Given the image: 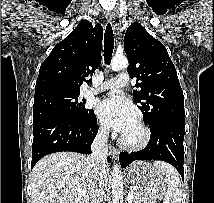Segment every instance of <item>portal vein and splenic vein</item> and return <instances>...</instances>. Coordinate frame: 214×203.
Here are the masks:
<instances>
[{
  "mask_svg": "<svg viewBox=\"0 0 214 203\" xmlns=\"http://www.w3.org/2000/svg\"><path fill=\"white\" fill-rule=\"evenodd\" d=\"M127 198H128V202H129V203H132L133 198H134L133 192H132V191H129V192H128Z\"/></svg>",
  "mask_w": 214,
  "mask_h": 203,
  "instance_id": "obj_1",
  "label": "portal vein and splenic vein"
}]
</instances>
